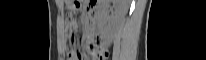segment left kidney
I'll return each instance as SVG.
<instances>
[{
  "label": "left kidney",
  "mask_w": 206,
  "mask_h": 60,
  "mask_svg": "<svg viewBox=\"0 0 206 60\" xmlns=\"http://www.w3.org/2000/svg\"><path fill=\"white\" fill-rule=\"evenodd\" d=\"M112 1L117 4V9L113 16L109 17V4L111 0H99L97 10L99 33L106 44L111 43L116 26L127 12L126 0Z\"/></svg>",
  "instance_id": "1"
}]
</instances>
